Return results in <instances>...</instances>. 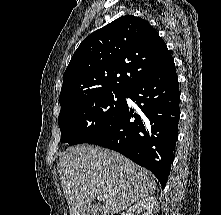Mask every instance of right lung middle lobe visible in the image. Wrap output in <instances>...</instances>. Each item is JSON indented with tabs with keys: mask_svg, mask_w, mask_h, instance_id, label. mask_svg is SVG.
Segmentation results:
<instances>
[{
	"mask_svg": "<svg viewBox=\"0 0 221 215\" xmlns=\"http://www.w3.org/2000/svg\"><path fill=\"white\" fill-rule=\"evenodd\" d=\"M126 93H106L71 103L60 110L61 142L88 143L116 123L126 105Z\"/></svg>",
	"mask_w": 221,
	"mask_h": 215,
	"instance_id": "dd1d6c3e",
	"label": "right lung middle lobe"
}]
</instances>
